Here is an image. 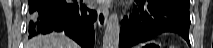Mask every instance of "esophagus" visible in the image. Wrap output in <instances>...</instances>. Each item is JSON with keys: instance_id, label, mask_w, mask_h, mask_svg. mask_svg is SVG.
<instances>
[{"instance_id": "34e87169", "label": "esophagus", "mask_w": 213, "mask_h": 48, "mask_svg": "<svg viewBox=\"0 0 213 48\" xmlns=\"http://www.w3.org/2000/svg\"><path fill=\"white\" fill-rule=\"evenodd\" d=\"M108 19V9L101 7L98 10L97 22L100 28H104Z\"/></svg>"}]
</instances>
